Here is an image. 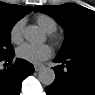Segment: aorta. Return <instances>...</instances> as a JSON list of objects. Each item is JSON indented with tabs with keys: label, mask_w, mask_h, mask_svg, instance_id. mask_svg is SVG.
<instances>
[{
	"label": "aorta",
	"mask_w": 95,
	"mask_h": 95,
	"mask_svg": "<svg viewBox=\"0 0 95 95\" xmlns=\"http://www.w3.org/2000/svg\"><path fill=\"white\" fill-rule=\"evenodd\" d=\"M24 37L29 42H37L40 39L38 31L32 26L25 29ZM38 79L45 86L51 85L55 80L54 70L49 67L42 68L38 73Z\"/></svg>",
	"instance_id": "1"
}]
</instances>
